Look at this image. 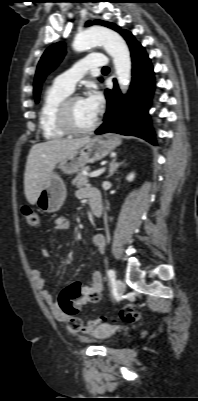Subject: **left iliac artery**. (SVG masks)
I'll return each mask as SVG.
<instances>
[{
    "label": "left iliac artery",
    "instance_id": "1",
    "mask_svg": "<svg viewBox=\"0 0 198 401\" xmlns=\"http://www.w3.org/2000/svg\"><path fill=\"white\" fill-rule=\"evenodd\" d=\"M107 275L110 279H113L115 277V271L113 269H109L107 271Z\"/></svg>",
    "mask_w": 198,
    "mask_h": 401
}]
</instances>
